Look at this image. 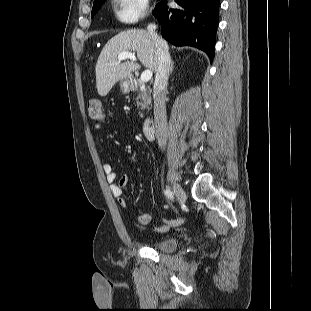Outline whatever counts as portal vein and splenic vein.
<instances>
[{
    "label": "portal vein and splenic vein",
    "mask_w": 311,
    "mask_h": 311,
    "mask_svg": "<svg viewBox=\"0 0 311 311\" xmlns=\"http://www.w3.org/2000/svg\"><path fill=\"white\" fill-rule=\"evenodd\" d=\"M125 59H130L132 61H136V56L134 53L132 52H122L118 55V60L119 61H122V60H125ZM152 71L151 70H145L142 74H141V77H140V81L142 83H146L148 82L151 78H152Z\"/></svg>",
    "instance_id": "18ae733b"
}]
</instances>
